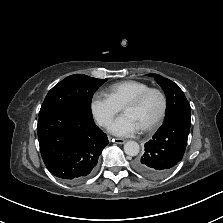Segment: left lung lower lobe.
I'll return each mask as SVG.
<instances>
[{
	"label": "left lung lower lobe",
	"mask_w": 223,
	"mask_h": 223,
	"mask_svg": "<svg viewBox=\"0 0 223 223\" xmlns=\"http://www.w3.org/2000/svg\"><path fill=\"white\" fill-rule=\"evenodd\" d=\"M190 125V120L180 117L165 121L145 144L144 154L134 161L135 171L149 179L168 175L183 158Z\"/></svg>",
	"instance_id": "obj_1"
}]
</instances>
